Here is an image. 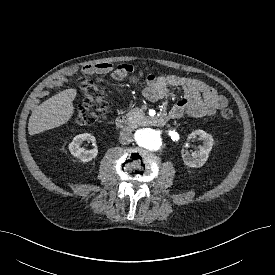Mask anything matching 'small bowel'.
<instances>
[{
	"label": "small bowel",
	"instance_id": "obj_1",
	"mask_svg": "<svg viewBox=\"0 0 275 275\" xmlns=\"http://www.w3.org/2000/svg\"><path fill=\"white\" fill-rule=\"evenodd\" d=\"M82 74H106L113 73L117 81L128 78L132 82H138L142 73L136 75L132 66L123 64L122 70H117L114 65L107 63L87 65L80 69ZM71 73L59 76L53 82V86L60 87L69 81ZM119 92L123 89L117 83L110 84ZM169 87L181 88L183 98L178 100L169 110V117L180 118L184 114L192 117H209L217 110L227 106V99L219 94L213 87L197 80L177 75L154 76L149 74L145 77L143 93L150 101H159L166 97Z\"/></svg>",
	"mask_w": 275,
	"mask_h": 275
}]
</instances>
